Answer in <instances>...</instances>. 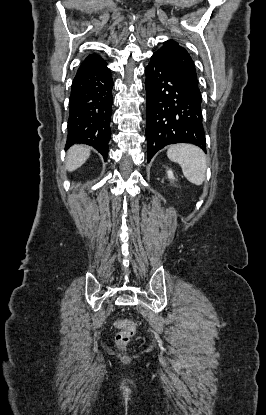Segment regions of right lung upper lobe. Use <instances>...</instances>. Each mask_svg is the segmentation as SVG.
<instances>
[{
	"label": "right lung upper lobe",
	"instance_id": "cb5924a9",
	"mask_svg": "<svg viewBox=\"0 0 266 415\" xmlns=\"http://www.w3.org/2000/svg\"><path fill=\"white\" fill-rule=\"evenodd\" d=\"M104 65H106V62L101 57L91 54L81 63L76 75L89 72Z\"/></svg>",
	"mask_w": 266,
	"mask_h": 415
}]
</instances>
